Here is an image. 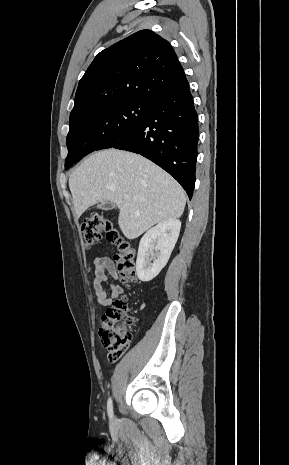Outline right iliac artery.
Segmentation results:
<instances>
[{"instance_id":"82829eb1","label":"right iliac artery","mask_w":289,"mask_h":465,"mask_svg":"<svg viewBox=\"0 0 289 465\" xmlns=\"http://www.w3.org/2000/svg\"><path fill=\"white\" fill-rule=\"evenodd\" d=\"M107 412L110 420L113 419V404H112V399L109 398L107 402Z\"/></svg>"}]
</instances>
